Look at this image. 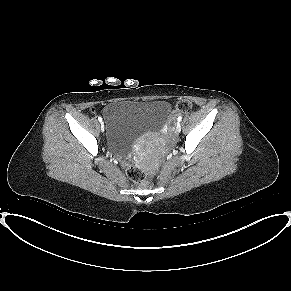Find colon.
Segmentation results:
<instances>
[{
	"label": "colon",
	"mask_w": 291,
	"mask_h": 291,
	"mask_svg": "<svg viewBox=\"0 0 291 291\" xmlns=\"http://www.w3.org/2000/svg\"><path fill=\"white\" fill-rule=\"evenodd\" d=\"M177 112L187 113L191 111V102L188 100H182L176 105ZM127 166V176L128 178L136 183L143 184L145 182V175L142 170L137 168L130 158H126L125 160Z\"/></svg>",
	"instance_id": "colon-1"
}]
</instances>
